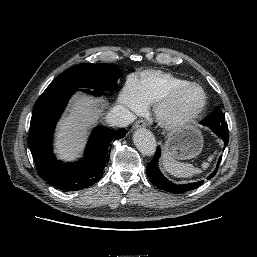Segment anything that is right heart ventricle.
<instances>
[{"instance_id": "right-heart-ventricle-1", "label": "right heart ventricle", "mask_w": 257, "mask_h": 257, "mask_svg": "<svg viewBox=\"0 0 257 257\" xmlns=\"http://www.w3.org/2000/svg\"><path fill=\"white\" fill-rule=\"evenodd\" d=\"M187 83L189 81L160 70L144 71L136 79L139 96L146 106L158 104L170 91Z\"/></svg>"}]
</instances>
